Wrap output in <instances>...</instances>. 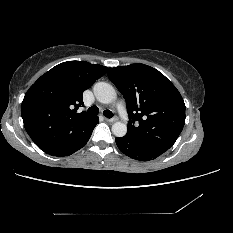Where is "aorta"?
Segmentation results:
<instances>
[{
    "label": "aorta",
    "mask_w": 233,
    "mask_h": 233,
    "mask_svg": "<svg viewBox=\"0 0 233 233\" xmlns=\"http://www.w3.org/2000/svg\"><path fill=\"white\" fill-rule=\"evenodd\" d=\"M96 99L103 104H109L116 98V92L112 85L106 82H98L93 87ZM112 132L116 137H123L127 133V126L123 122H115Z\"/></svg>",
    "instance_id": "obj_1"
}]
</instances>
